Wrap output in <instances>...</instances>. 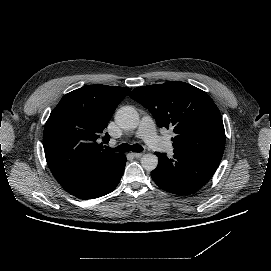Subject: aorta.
Wrapping results in <instances>:
<instances>
[{
	"label": "aorta",
	"mask_w": 271,
	"mask_h": 271,
	"mask_svg": "<svg viewBox=\"0 0 271 271\" xmlns=\"http://www.w3.org/2000/svg\"><path fill=\"white\" fill-rule=\"evenodd\" d=\"M115 121L123 130L132 131L139 126L140 117L134 107L125 106L116 112ZM141 165L146 171H152L158 165V157L151 153L144 154L141 157Z\"/></svg>",
	"instance_id": "762f6f07"
}]
</instances>
